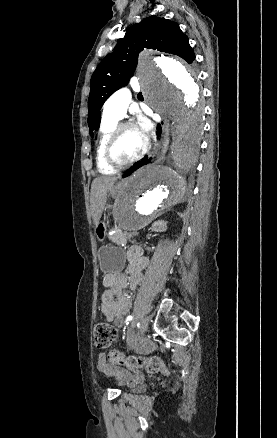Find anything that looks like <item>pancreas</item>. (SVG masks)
Listing matches in <instances>:
<instances>
[{"instance_id":"cf45deb5","label":"pancreas","mask_w":277,"mask_h":438,"mask_svg":"<svg viewBox=\"0 0 277 438\" xmlns=\"http://www.w3.org/2000/svg\"><path fill=\"white\" fill-rule=\"evenodd\" d=\"M125 229L124 228H117L116 232L112 231L109 234V241L111 242L112 240H114L116 243V245L118 246L119 244H126L128 242V237L125 235Z\"/></svg>"}]
</instances>
